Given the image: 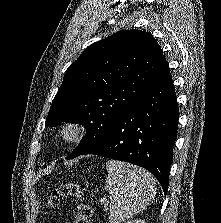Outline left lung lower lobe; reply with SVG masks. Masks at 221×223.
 Returning a JSON list of instances; mask_svg holds the SVG:
<instances>
[{
    "label": "left lung lower lobe",
    "mask_w": 221,
    "mask_h": 223,
    "mask_svg": "<svg viewBox=\"0 0 221 223\" xmlns=\"http://www.w3.org/2000/svg\"><path fill=\"white\" fill-rule=\"evenodd\" d=\"M179 110L167 62L153 83L119 116L109 131L80 155L94 154L141 166L166 195Z\"/></svg>",
    "instance_id": "1"
}]
</instances>
